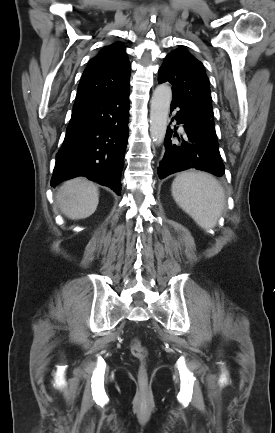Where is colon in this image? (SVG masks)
<instances>
[{
  "instance_id": "1",
  "label": "colon",
  "mask_w": 275,
  "mask_h": 433,
  "mask_svg": "<svg viewBox=\"0 0 275 433\" xmlns=\"http://www.w3.org/2000/svg\"><path fill=\"white\" fill-rule=\"evenodd\" d=\"M130 352L139 361L137 376H138L139 384L143 388L145 387L148 380L147 370L145 365L148 356V350L146 346L142 344L139 340L134 339L130 343Z\"/></svg>"
}]
</instances>
